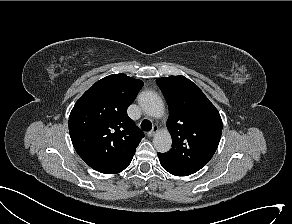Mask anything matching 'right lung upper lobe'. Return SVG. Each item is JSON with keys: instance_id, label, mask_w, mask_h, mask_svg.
Here are the masks:
<instances>
[{"instance_id": "cb5924a9", "label": "right lung upper lobe", "mask_w": 292, "mask_h": 224, "mask_svg": "<svg viewBox=\"0 0 292 224\" xmlns=\"http://www.w3.org/2000/svg\"><path fill=\"white\" fill-rule=\"evenodd\" d=\"M143 82L125 74L109 75L90 87L75 103L69 132L78 155L91 166L133 157L144 137L127 115Z\"/></svg>"}]
</instances>
